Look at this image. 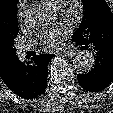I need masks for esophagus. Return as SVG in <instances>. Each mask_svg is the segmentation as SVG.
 Masks as SVG:
<instances>
[{
  "instance_id": "obj_1",
  "label": "esophagus",
  "mask_w": 113,
  "mask_h": 113,
  "mask_svg": "<svg viewBox=\"0 0 113 113\" xmlns=\"http://www.w3.org/2000/svg\"><path fill=\"white\" fill-rule=\"evenodd\" d=\"M63 54L67 55L68 57H74L75 55H77V52L75 50H66L63 52Z\"/></svg>"
}]
</instances>
